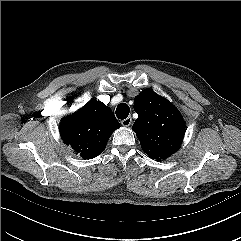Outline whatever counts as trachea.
Instances as JSON below:
<instances>
[{"instance_id":"3493384b","label":"trachea","mask_w":241,"mask_h":241,"mask_svg":"<svg viewBox=\"0 0 241 241\" xmlns=\"http://www.w3.org/2000/svg\"><path fill=\"white\" fill-rule=\"evenodd\" d=\"M130 108L126 103H120L116 108L117 118L123 120L126 119L129 115Z\"/></svg>"}]
</instances>
